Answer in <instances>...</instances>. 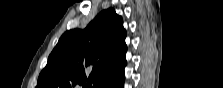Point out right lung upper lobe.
<instances>
[{"label":"right lung upper lobe","mask_w":223,"mask_h":88,"mask_svg":"<svg viewBox=\"0 0 223 88\" xmlns=\"http://www.w3.org/2000/svg\"><path fill=\"white\" fill-rule=\"evenodd\" d=\"M126 30L114 9L102 11L84 30L62 35L38 78L37 88H114L124 80ZM87 83V84H86Z\"/></svg>","instance_id":"obj_1"}]
</instances>
